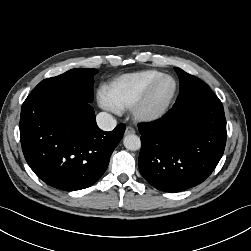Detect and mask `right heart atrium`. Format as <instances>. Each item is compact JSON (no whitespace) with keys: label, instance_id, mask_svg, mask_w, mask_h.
Segmentation results:
<instances>
[{"label":"right heart atrium","instance_id":"obj_1","mask_svg":"<svg viewBox=\"0 0 251 251\" xmlns=\"http://www.w3.org/2000/svg\"><path fill=\"white\" fill-rule=\"evenodd\" d=\"M97 98H98V102L100 106H102L103 108L109 109V110H116V108L108 100L104 90L98 93Z\"/></svg>","mask_w":251,"mask_h":251}]
</instances>
